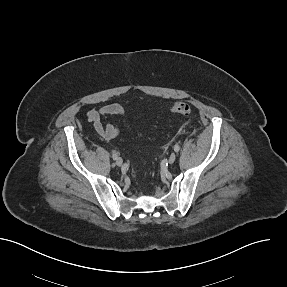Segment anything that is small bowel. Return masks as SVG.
Segmentation results:
<instances>
[{
    "label": "small bowel",
    "mask_w": 287,
    "mask_h": 287,
    "mask_svg": "<svg viewBox=\"0 0 287 287\" xmlns=\"http://www.w3.org/2000/svg\"><path fill=\"white\" fill-rule=\"evenodd\" d=\"M109 115H124L123 106L118 103L106 104L93 108L86 114V119L93 124L97 134L105 141L117 138L122 132L120 127L104 121V118Z\"/></svg>",
    "instance_id": "obj_1"
}]
</instances>
